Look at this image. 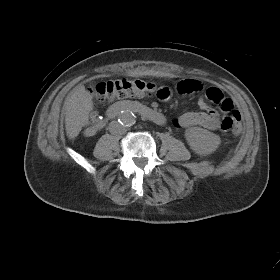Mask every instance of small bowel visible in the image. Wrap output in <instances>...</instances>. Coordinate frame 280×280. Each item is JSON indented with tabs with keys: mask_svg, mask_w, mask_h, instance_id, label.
<instances>
[{
	"mask_svg": "<svg viewBox=\"0 0 280 280\" xmlns=\"http://www.w3.org/2000/svg\"><path fill=\"white\" fill-rule=\"evenodd\" d=\"M202 83L196 79H183L179 81L174 90L179 94H194L201 91ZM198 112H187L173 120L176 128H190L193 126H201L209 130H218L220 128V117L218 112L210 107L204 97L198 99ZM93 129L86 131L87 135H91Z\"/></svg>",
	"mask_w": 280,
	"mask_h": 280,
	"instance_id": "obj_1",
	"label": "small bowel"
}]
</instances>
